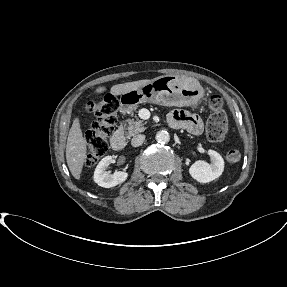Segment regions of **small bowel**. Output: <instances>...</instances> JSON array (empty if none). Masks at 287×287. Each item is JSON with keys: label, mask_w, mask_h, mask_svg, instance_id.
Returning a JSON list of instances; mask_svg holds the SVG:
<instances>
[{"label": "small bowel", "mask_w": 287, "mask_h": 287, "mask_svg": "<svg viewBox=\"0 0 287 287\" xmlns=\"http://www.w3.org/2000/svg\"><path fill=\"white\" fill-rule=\"evenodd\" d=\"M168 122L172 127L185 129L194 135L200 134L203 129L200 117L185 110L172 111L168 116Z\"/></svg>", "instance_id": "1"}]
</instances>
